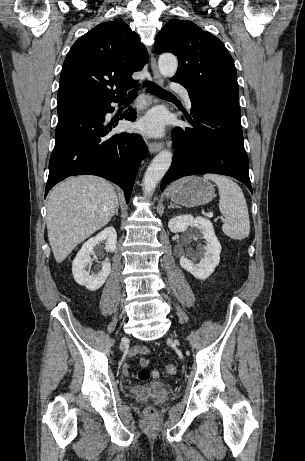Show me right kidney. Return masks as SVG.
I'll use <instances>...</instances> for the list:
<instances>
[{
	"mask_svg": "<svg viewBox=\"0 0 305 461\" xmlns=\"http://www.w3.org/2000/svg\"><path fill=\"white\" fill-rule=\"evenodd\" d=\"M103 240H106L105 249L110 252H114L117 243V233L115 228L112 226L105 228L95 237L90 238L85 242L77 253L72 263V273L75 281L82 286H85L88 290L96 291L105 283L109 273L111 271V264L109 260L101 266V270L95 274L90 275L85 268L92 265L91 254L96 245Z\"/></svg>",
	"mask_w": 305,
	"mask_h": 461,
	"instance_id": "obj_1",
	"label": "right kidney"
}]
</instances>
